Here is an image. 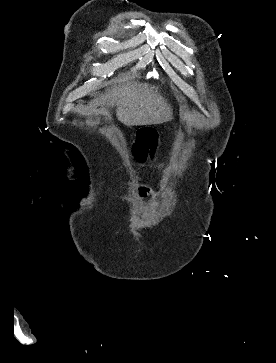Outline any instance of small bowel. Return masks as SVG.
<instances>
[{"instance_id": "c3829d8e", "label": "small bowel", "mask_w": 276, "mask_h": 363, "mask_svg": "<svg viewBox=\"0 0 276 363\" xmlns=\"http://www.w3.org/2000/svg\"><path fill=\"white\" fill-rule=\"evenodd\" d=\"M140 196L147 197V196H154L155 192L147 185H141L139 188Z\"/></svg>"}]
</instances>
